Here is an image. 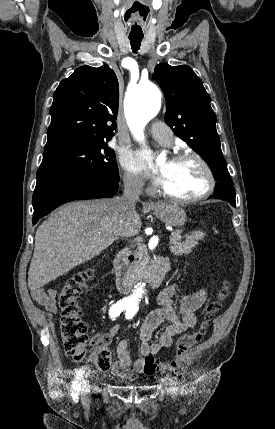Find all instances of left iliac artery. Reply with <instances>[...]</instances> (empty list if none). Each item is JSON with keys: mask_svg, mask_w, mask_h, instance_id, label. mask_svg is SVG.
<instances>
[{"mask_svg": "<svg viewBox=\"0 0 275 429\" xmlns=\"http://www.w3.org/2000/svg\"><path fill=\"white\" fill-rule=\"evenodd\" d=\"M137 310L135 307L128 306L126 307L125 317L126 319H131L136 314Z\"/></svg>", "mask_w": 275, "mask_h": 429, "instance_id": "44dca946", "label": "left iliac artery"}]
</instances>
